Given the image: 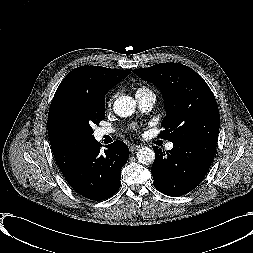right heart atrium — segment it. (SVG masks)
<instances>
[{
  "label": "right heart atrium",
  "mask_w": 253,
  "mask_h": 253,
  "mask_svg": "<svg viewBox=\"0 0 253 253\" xmlns=\"http://www.w3.org/2000/svg\"><path fill=\"white\" fill-rule=\"evenodd\" d=\"M115 98V94L111 95L109 100H108V105L110 106L113 103V100Z\"/></svg>",
  "instance_id": "right-heart-atrium-1"
}]
</instances>
